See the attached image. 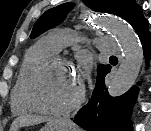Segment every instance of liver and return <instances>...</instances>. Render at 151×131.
Returning a JSON list of instances; mask_svg holds the SVG:
<instances>
[{
  "label": "liver",
  "mask_w": 151,
  "mask_h": 131,
  "mask_svg": "<svg viewBox=\"0 0 151 131\" xmlns=\"http://www.w3.org/2000/svg\"><path fill=\"white\" fill-rule=\"evenodd\" d=\"M45 121L52 122L54 120L50 118L33 115L20 116L12 122L10 131H18V129L21 128L22 126L40 124Z\"/></svg>",
  "instance_id": "6515ba94"
}]
</instances>
